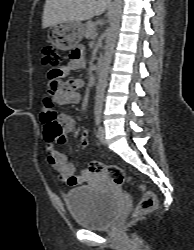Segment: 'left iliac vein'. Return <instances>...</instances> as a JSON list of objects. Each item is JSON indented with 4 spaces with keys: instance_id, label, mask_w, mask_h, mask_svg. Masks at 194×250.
Segmentation results:
<instances>
[{
    "instance_id": "left-iliac-vein-1",
    "label": "left iliac vein",
    "mask_w": 194,
    "mask_h": 250,
    "mask_svg": "<svg viewBox=\"0 0 194 250\" xmlns=\"http://www.w3.org/2000/svg\"><path fill=\"white\" fill-rule=\"evenodd\" d=\"M97 136H98V139L100 141V143L102 144H105L106 143V139H105V129L102 125H100L98 127V130H97Z\"/></svg>"
}]
</instances>
